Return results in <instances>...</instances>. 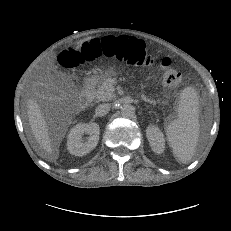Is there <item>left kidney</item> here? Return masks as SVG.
I'll return each instance as SVG.
<instances>
[{
	"label": "left kidney",
	"mask_w": 231,
	"mask_h": 231,
	"mask_svg": "<svg viewBox=\"0 0 231 231\" xmlns=\"http://www.w3.org/2000/svg\"><path fill=\"white\" fill-rule=\"evenodd\" d=\"M146 136L152 150L157 154L163 153L165 148V141L159 128L153 125L148 126L146 129Z\"/></svg>",
	"instance_id": "left-kidney-1"
}]
</instances>
